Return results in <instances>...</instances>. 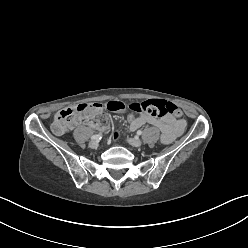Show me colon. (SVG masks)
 Segmentation results:
<instances>
[{
    "mask_svg": "<svg viewBox=\"0 0 248 248\" xmlns=\"http://www.w3.org/2000/svg\"><path fill=\"white\" fill-rule=\"evenodd\" d=\"M126 108L153 117L182 116L181 110L176 105L162 100L135 101L127 105L122 102H110L107 106L104 103H82L57 112L52 121V130L56 134H63L76 123L84 121L95 125L102 132H107L111 128V120L106 113L107 109L119 112ZM134 120L135 115L129 112L125 117V124L131 125Z\"/></svg>",
    "mask_w": 248,
    "mask_h": 248,
    "instance_id": "5ec220e1",
    "label": "colon"
}]
</instances>
